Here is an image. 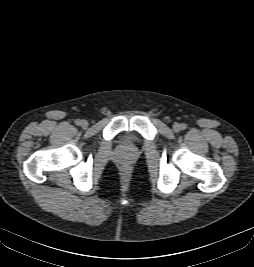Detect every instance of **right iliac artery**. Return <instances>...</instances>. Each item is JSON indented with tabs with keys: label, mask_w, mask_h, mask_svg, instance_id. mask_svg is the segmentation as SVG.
<instances>
[{
	"label": "right iliac artery",
	"mask_w": 254,
	"mask_h": 267,
	"mask_svg": "<svg viewBox=\"0 0 254 267\" xmlns=\"http://www.w3.org/2000/svg\"><path fill=\"white\" fill-rule=\"evenodd\" d=\"M75 123H76V125H81V120H80V119H77V120L75 121Z\"/></svg>",
	"instance_id": "1"
}]
</instances>
